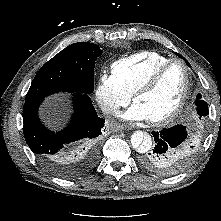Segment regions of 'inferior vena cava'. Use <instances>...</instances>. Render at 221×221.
<instances>
[{
  "label": "inferior vena cava",
  "mask_w": 221,
  "mask_h": 221,
  "mask_svg": "<svg viewBox=\"0 0 221 221\" xmlns=\"http://www.w3.org/2000/svg\"><path fill=\"white\" fill-rule=\"evenodd\" d=\"M101 109L106 114L118 113V109L111 104H106V105L102 106Z\"/></svg>",
  "instance_id": "602c4592"
}]
</instances>
